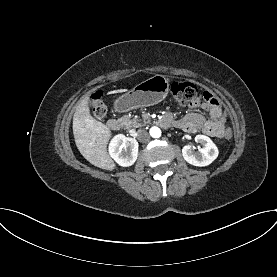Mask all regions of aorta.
Returning a JSON list of instances; mask_svg holds the SVG:
<instances>
[{
    "label": "aorta",
    "instance_id": "1",
    "mask_svg": "<svg viewBox=\"0 0 277 277\" xmlns=\"http://www.w3.org/2000/svg\"><path fill=\"white\" fill-rule=\"evenodd\" d=\"M150 135L153 138H159L161 136V130L158 127H152L150 128Z\"/></svg>",
    "mask_w": 277,
    "mask_h": 277
}]
</instances>
